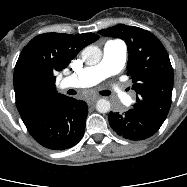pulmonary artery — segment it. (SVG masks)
Here are the masks:
<instances>
[{
  "label": "pulmonary artery",
  "mask_w": 187,
  "mask_h": 187,
  "mask_svg": "<svg viewBox=\"0 0 187 187\" xmlns=\"http://www.w3.org/2000/svg\"><path fill=\"white\" fill-rule=\"evenodd\" d=\"M127 48L120 40L107 41L103 47L102 60L82 71L73 74L62 81L63 87H89L97 84L103 79L117 74L124 66L126 61ZM114 92L119 98H125V92L114 87Z\"/></svg>",
  "instance_id": "pulmonary-artery-1"
}]
</instances>
